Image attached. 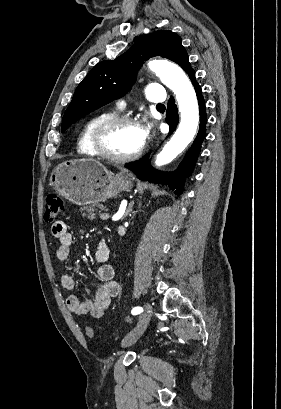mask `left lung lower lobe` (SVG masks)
<instances>
[{"label":"left lung lower lobe","instance_id":"1","mask_svg":"<svg viewBox=\"0 0 281 409\" xmlns=\"http://www.w3.org/2000/svg\"><path fill=\"white\" fill-rule=\"evenodd\" d=\"M188 76L194 85L198 98L200 112V127L197 137L195 138L189 151L185 154L183 161L180 163L178 167V170L175 173H164L153 169L150 165V161H148L149 154L140 159L139 161L125 165L126 168L133 171L141 180H147L159 184H168L171 189L178 188L175 191V194L177 195H180L183 191V185L185 182L184 177H188L193 171L194 165L200 153L201 144L206 135L205 132L207 116L202 91L200 86L196 82L194 70L188 73ZM166 121L169 124L170 128L169 132L170 134H172L179 121L177 107L172 97L168 101Z\"/></svg>","mask_w":281,"mask_h":409}]
</instances>
